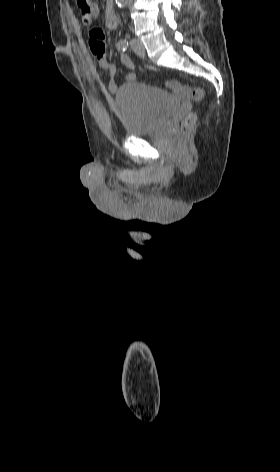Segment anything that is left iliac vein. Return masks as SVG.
I'll return each mask as SVG.
<instances>
[{
    "label": "left iliac vein",
    "mask_w": 280,
    "mask_h": 472,
    "mask_svg": "<svg viewBox=\"0 0 280 472\" xmlns=\"http://www.w3.org/2000/svg\"><path fill=\"white\" fill-rule=\"evenodd\" d=\"M130 46L137 56L142 57V58L145 57V48L139 39L137 38L131 39Z\"/></svg>",
    "instance_id": "4c4485c4"
}]
</instances>
